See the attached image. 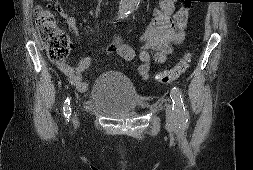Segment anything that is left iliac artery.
Returning <instances> with one entry per match:
<instances>
[{"mask_svg": "<svg viewBox=\"0 0 253 170\" xmlns=\"http://www.w3.org/2000/svg\"><path fill=\"white\" fill-rule=\"evenodd\" d=\"M171 99L173 102V111L180 117L182 129H186L189 126L188 112L185 110L183 98L179 89L174 87L171 91Z\"/></svg>", "mask_w": 253, "mask_h": 170, "instance_id": "44dca946", "label": "left iliac artery"}]
</instances>
